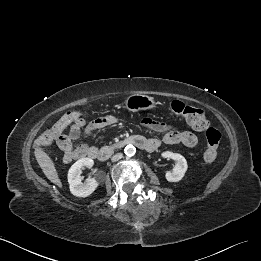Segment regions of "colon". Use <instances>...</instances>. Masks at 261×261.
Segmentation results:
<instances>
[{
    "label": "colon",
    "instance_id": "colon-1",
    "mask_svg": "<svg viewBox=\"0 0 261 261\" xmlns=\"http://www.w3.org/2000/svg\"><path fill=\"white\" fill-rule=\"evenodd\" d=\"M170 111L184 118L195 131L205 133L207 147L203 160L206 164L212 163L218 155L221 133L216 128L210 127L203 110L176 100L170 104ZM84 124L81 112L68 111L51 129L38 137L36 144L47 146L54 141L59 144L68 143L81 132ZM67 127H70V132L66 135L64 130Z\"/></svg>",
    "mask_w": 261,
    "mask_h": 261
}]
</instances>
